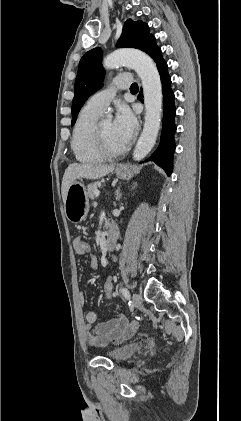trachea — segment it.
<instances>
[{
  "label": "trachea",
  "instance_id": "obj_1",
  "mask_svg": "<svg viewBox=\"0 0 241 421\" xmlns=\"http://www.w3.org/2000/svg\"><path fill=\"white\" fill-rule=\"evenodd\" d=\"M130 90H131V91L138 90V85H137V83H133V84L131 85V87H130Z\"/></svg>",
  "mask_w": 241,
  "mask_h": 421
}]
</instances>
